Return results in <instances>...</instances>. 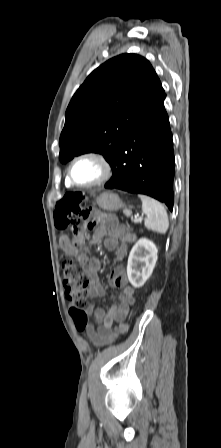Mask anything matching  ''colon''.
I'll return each mask as SVG.
<instances>
[{
    "instance_id": "5ec220e1",
    "label": "colon",
    "mask_w": 221,
    "mask_h": 448,
    "mask_svg": "<svg viewBox=\"0 0 221 448\" xmlns=\"http://www.w3.org/2000/svg\"><path fill=\"white\" fill-rule=\"evenodd\" d=\"M55 226L62 231L72 227L75 236H81L93 227L91 210L84 206V196L72 192L63 195L56 203L54 211ZM63 272V283L67 298L72 306L71 316L78 331L86 330L89 317L86 312L89 277L84 267L71 257H63L60 261ZM127 328V326H124Z\"/></svg>"
}]
</instances>
